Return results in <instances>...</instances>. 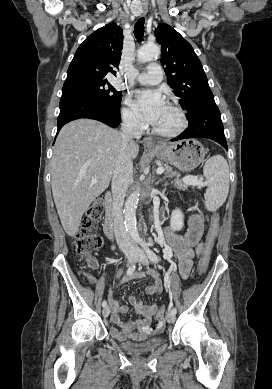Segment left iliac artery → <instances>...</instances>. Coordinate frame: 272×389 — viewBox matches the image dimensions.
Listing matches in <instances>:
<instances>
[{"label":"left iliac artery","instance_id":"obj_1","mask_svg":"<svg viewBox=\"0 0 272 389\" xmlns=\"http://www.w3.org/2000/svg\"><path fill=\"white\" fill-rule=\"evenodd\" d=\"M138 242H139V244L143 247V249L145 250V252L147 253L148 258H149L152 262L157 263V262H158V257H157V255L149 248V245H148L145 241H143L142 239H139ZM165 286H166L167 291L169 290V297H170V300H172V296H171V293H170V286H169L168 280H166ZM171 313L175 315V314L177 313L176 308H172V309H171Z\"/></svg>","mask_w":272,"mask_h":389}]
</instances>
